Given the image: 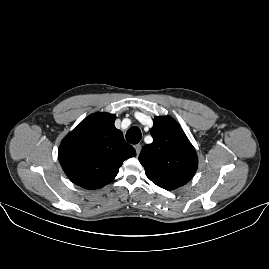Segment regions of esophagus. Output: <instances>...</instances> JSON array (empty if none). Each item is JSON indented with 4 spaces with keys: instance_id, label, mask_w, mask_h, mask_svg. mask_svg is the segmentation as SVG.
I'll return each mask as SVG.
<instances>
[{
    "instance_id": "1",
    "label": "esophagus",
    "mask_w": 269,
    "mask_h": 269,
    "mask_svg": "<svg viewBox=\"0 0 269 269\" xmlns=\"http://www.w3.org/2000/svg\"><path fill=\"white\" fill-rule=\"evenodd\" d=\"M134 148H135V150H136V154H137V157L139 156V153L141 152V148H142V146H141V144H136L135 146H134Z\"/></svg>"
}]
</instances>
